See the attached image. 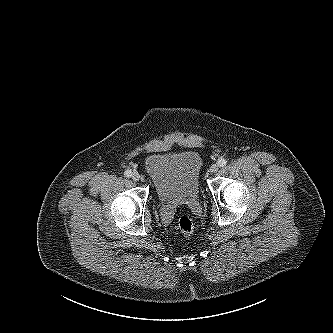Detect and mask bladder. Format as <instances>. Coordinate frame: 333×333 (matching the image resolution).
I'll return each mask as SVG.
<instances>
[{"label": "bladder", "mask_w": 333, "mask_h": 333, "mask_svg": "<svg viewBox=\"0 0 333 333\" xmlns=\"http://www.w3.org/2000/svg\"><path fill=\"white\" fill-rule=\"evenodd\" d=\"M202 166V157L194 150L151 154L144 163L145 172L161 201L196 198Z\"/></svg>", "instance_id": "bladder-1"}]
</instances>
